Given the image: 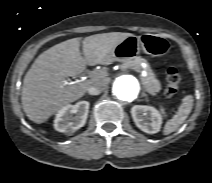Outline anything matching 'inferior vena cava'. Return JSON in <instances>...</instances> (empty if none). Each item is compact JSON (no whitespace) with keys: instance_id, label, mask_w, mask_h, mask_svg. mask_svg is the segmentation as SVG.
<instances>
[{"instance_id":"inferior-vena-cava-1","label":"inferior vena cava","mask_w":212,"mask_h":183,"mask_svg":"<svg viewBox=\"0 0 212 183\" xmlns=\"http://www.w3.org/2000/svg\"><path fill=\"white\" fill-rule=\"evenodd\" d=\"M106 87V80H99L93 83L92 86L89 87L88 91L92 95L100 94Z\"/></svg>"}]
</instances>
